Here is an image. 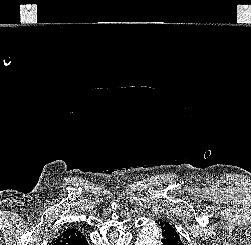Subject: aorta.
Returning a JSON list of instances; mask_svg holds the SVG:
<instances>
[{
  "mask_svg": "<svg viewBox=\"0 0 251 245\" xmlns=\"http://www.w3.org/2000/svg\"><path fill=\"white\" fill-rule=\"evenodd\" d=\"M160 244V229L158 225L150 221L145 224L140 230L135 245H159Z\"/></svg>",
  "mask_w": 251,
  "mask_h": 245,
  "instance_id": "762f6f07",
  "label": "aorta"
}]
</instances>
